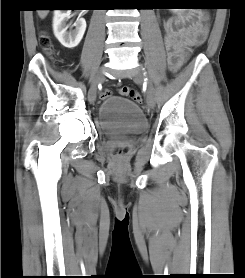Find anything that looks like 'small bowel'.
<instances>
[{
  "label": "small bowel",
  "instance_id": "small-bowel-1",
  "mask_svg": "<svg viewBox=\"0 0 245 278\" xmlns=\"http://www.w3.org/2000/svg\"><path fill=\"white\" fill-rule=\"evenodd\" d=\"M163 28L167 62L174 71L185 62L187 49L203 43L208 33L201 14H194L185 20L170 18L164 22Z\"/></svg>",
  "mask_w": 245,
  "mask_h": 278
}]
</instances>
